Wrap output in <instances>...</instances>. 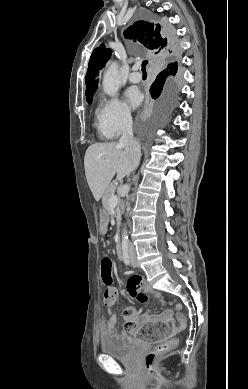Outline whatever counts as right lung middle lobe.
I'll return each instance as SVG.
<instances>
[{
	"label": "right lung middle lobe",
	"instance_id": "right-lung-middle-lobe-1",
	"mask_svg": "<svg viewBox=\"0 0 248 389\" xmlns=\"http://www.w3.org/2000/svg\"><path fill=\"white\" fill-rule=\"evenodd\" d=\"M177 70L178 65L171 69L150 91L151 96L154 99H158L157 102L160 115L156 123H159L164 117H166L176 104L179 87L173 76L176 75ZM92 96L86 98L89 104L92 102Z\"/></svg>",
	"mask_w": 248,
	"mask_h": 389
}]
</instances>
